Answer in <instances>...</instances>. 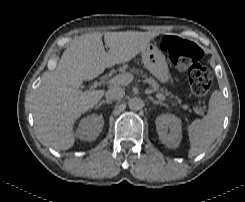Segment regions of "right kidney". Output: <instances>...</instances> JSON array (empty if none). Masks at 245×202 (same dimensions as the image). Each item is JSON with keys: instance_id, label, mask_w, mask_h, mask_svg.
Instances as JSON below:
<instances>
[{"instance_id": "ca27d5eb", "label": "right kidney", "mask_w": 245, "mask_h": 202, "mask_svg": "<svg viewBox=\"0 0 245 202\" xmlns=\"http://www.w3.org/2000/svg\"><path fill=\"white\" fill-rule=\"evenodd\" d=\"M104 120L102 115L92 114L84 117L79 123L76 136L83 141L95 140L103 129Z\"/></svg>"}]
</instances>
